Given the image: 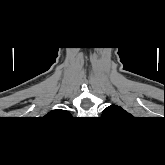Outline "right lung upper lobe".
Returning a JSON list of instances; mask_svg holds the SVG:
<instances>
[{"instance_id": "cb5924a9", "label": "right lung upper lobe", "mask_w": 165, "mask_h": 165, "mask_svg": "<svg viewBox=\"0 0 165 165\" xmlns=\"http://www.w3.org/2000/svg\"><path fill=\"white\" fill-rule=\"evenodd\" d=\"M62 115L67 116V115H69V112L65 111V110H61V109L52 110L45 117L46 118H56V117H60Z\"/></svg>"}]
</instances>
